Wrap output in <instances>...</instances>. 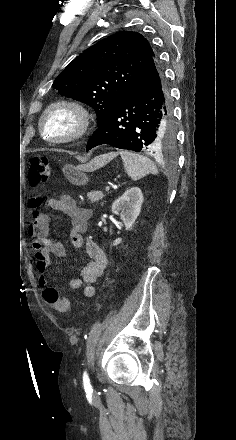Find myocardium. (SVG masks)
<instances>
[{
	"label": "myocardium",
	"mask_w": 236,
	"mask_h": 440,
	"mask_svg": "<svg viewBox=\"0 0 236 440\" xmlns=\"http://www.w3.org/2000/svg\"><path fill=\"white\" fill-rule=\"evenodd\" d=\"M63 110L75 120V128L64 135H54L48 132L47 122L56 111ZM39 127L42 136L48 142L55 144H68L85 137L91 127V115L88 108L80 101L70 98H60L50 103L39 118Z\"/></svg>",
	"instance_id": "1"
}]
</instances>
